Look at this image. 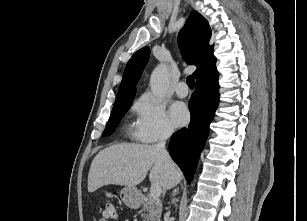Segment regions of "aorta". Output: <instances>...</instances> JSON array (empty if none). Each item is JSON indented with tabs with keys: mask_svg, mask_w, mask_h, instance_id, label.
<instances>
[{
	"mask_svg": "<svg viewBox=\"0 0 307 221\" xmlns=\"http://www.w3.org/2000/svg\"><path fill=\"white\" fill-rule=\"evenodd\" d=\"M169 87L168 67L159 64L152 72L150 77V88L154 97L161 101L166 96Z\"/></svg>",
	"mask_w": 307,
	"mask_h": 221,
	"instance_id": "aorta-1",
	"label": "aorta"
}]
</instances>
